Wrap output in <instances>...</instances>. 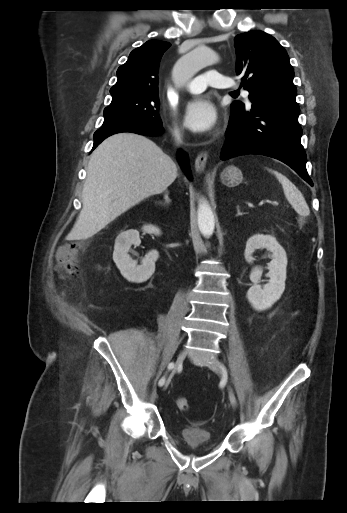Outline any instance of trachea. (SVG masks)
<instances>
[{"label":"trachea","instance_id":"obj_1","mask_svg":"<svg viewBox=\"0 0 347 513\" xmlns=\"http://www.w3.org/2000/svg\"><path fill=\"white\" fill-rule=\"evenodd\" d=\"M232 93L237 94L238 92L237 91H233Z\"/></svg>","mask_w":347,"mask_h":513}]
</instances>
